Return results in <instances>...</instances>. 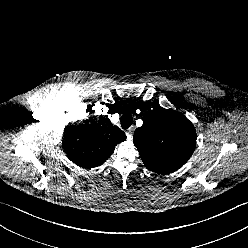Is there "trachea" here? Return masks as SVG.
<instances>
[{
	"label": "trachea",
	"instance_id": "obj_1",
	"mask_svg": "<svg viewBox=\"0 0 248 248\" xmlns=\"http://www.w3.org/2000/svg\"><path fill=\"white\" fill-rule=\"evenodd\" d=\"M133 123V117L129 112H125L121 116V126L123 129L129 128Z\"/></svg>",
	"mask_w": 248,
	"mask_h": 248
}]
</instances>
